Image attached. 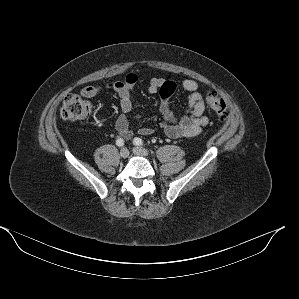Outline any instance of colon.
<instances>
[{"instance_id": "colon-1", "label": "colon", "mask_w": 299, "mask_h": 299, "mask_svg": "<svg viewBox=\"0 0 299 299\" xmlns=\"http://www.w3.org/2000/svg\"><path fill=\"white\" fill-rule=\"evenodd\" d=\"M207 105L216 113L218 118L226 122L228 119L227 105L225 101L214 93L206 96ZM92 112L91 104L79 95H67L60 109V116L67 121H81L90 116Z\"/></svg>"}]
</instances>
